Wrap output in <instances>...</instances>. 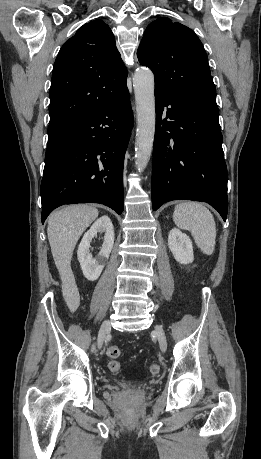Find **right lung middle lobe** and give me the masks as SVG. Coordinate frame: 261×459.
I'll return each instance as SVG.
<instances>
[{
    "mask_svg": "<svg viewBox=\"0 0 261 459\" xmlns=\"http://www.w3.org/2000/svg\"><path fill=\"white\" fill-rule=\"evenodd\" d=\"M75 124L72 123H61L48 128V144L56 141L61 136H63L69 129H71Z\"/></svg>",
    "mask_w": 261,
    "mask_h": 459,
    "instance_id": "obj_1",
    "label": "right lung middle lobe"
}]
</instances>
